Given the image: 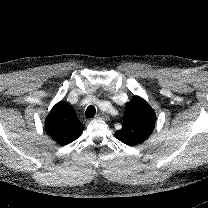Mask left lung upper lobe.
Instances as JSON below:
<instances>
[{"label": "left lung upper lobe", "mask_w": 208, "mask_h": 208, "mask_svg": "<svg viewBox=\"0 0 208 208\" xmlns=\"http://www.w3.org/2000/svg\"><path fill=\"white\" fill-rule=\"evenodd\" d=\"M154 110L139 96H134L126 104L122 129L115 132L121 142L135 146L144 142L151 135L155 126Z\"/></svg>", "instance_id": "obj_1"}]
</instances>
